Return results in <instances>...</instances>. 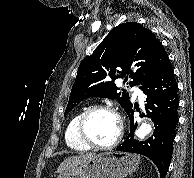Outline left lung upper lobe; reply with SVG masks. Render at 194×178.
Listing matches in <instances>:
<instances>
[{
  "label": "left lung upper lobe",
  "instance_id": "1",
  "mask_svg": "<svg viewBox=\"0 0 194 178\" xmlns=\"http://www.w3.org/2000/svg\"><path fill=\"white\" fill-rule=\"evenodd\" d=\"M167 58L163 45L149 29L136 22L118 25L80 63L65 115L89 97L117 99L127 111L132 106L129 94L118 92L114 81L122 78L130 86L142 84Z\"/></svg>",
  "mask_w": 194,
  "mask_h": 178
}]
</instances>
